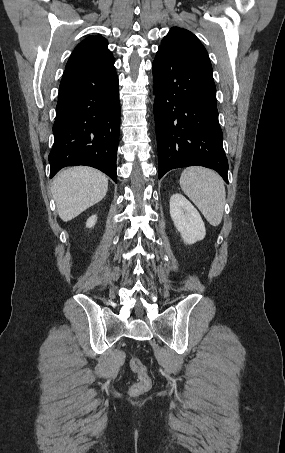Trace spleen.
I'll use <instances>...</instances> for the list:
<instances>
[{
    "mask_svg": "<svg viewBox=\"0 0 285 453\" xmlns=\"http://www.w3.org/2000/svg\"><path fill=\"white\" fill-rule=\"evenodd\" d=\"M180 186L212 226L221 223L226 191L218 173L200 166L186 168L182 172Z\"/></svg>",
    "mask_w": 285,
    "mask_h": 453,
    "instance_id": "obj_1",
    "label": "spleen"
}]
</instances>
